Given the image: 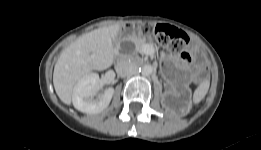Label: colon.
Returning <instances> with one entry per match:
<instances>
[{
	"label": "colon",
	"instance_id": "5ec220e1",
	"mask_svg": "<svg viewBox=\"0 0 261 150\" xmlns=\"http://www.w3.org/2000/svg\"><path fill=\"white\" fill-rule=\"evenodd\" d=\"M142 34L152 36L157 44L166 51L177 56L182 65H188L191 58L185 50L188 36L181 30L164 24H143L140 26Z\"/></svg>",
	"mask_w": 261,
	"mask_h": 150
}]
</instances>
